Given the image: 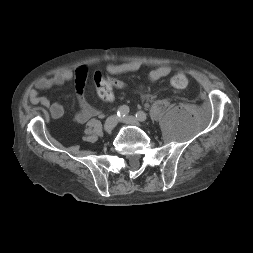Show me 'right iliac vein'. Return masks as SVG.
I'll return each mask as SVG.
<instances>
[{
	"instance_id": "1",
	"label": "right iliac vein",
	"mask_w": 253,
	"mask_h": 253,
	"mask_svg": "<svg viewBox=\"0 0 253 253\" xmlns=\"http://www.w3.org/2000/svg\"><path fill=\"white\" fill-rule=\"evenodd\" d=\"M117 119L116 115L109 116L104 123V130L106 132H111L117 124Z\"/></svg>"
}]
</instances>
